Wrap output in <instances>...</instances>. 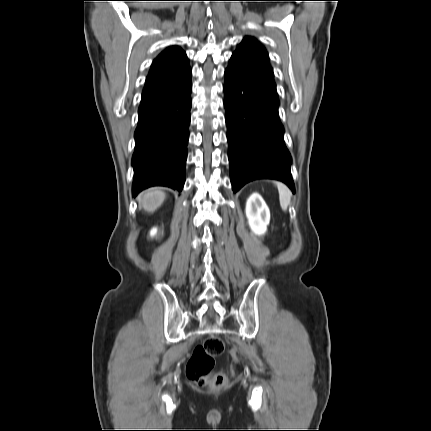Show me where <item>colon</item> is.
Segmentation results:
<instances>
[{
    "label": "colon",
    "instance_id": "1",
    "mask_svg": "<svg viewBox=\"0 0 431 431\" xmlns=\"http://www.w3.org/2000/svg\"><path fill=\"white\" fill-rule=\"evenodd\" d=\"M224 351V343L217 336H209L193 350L186 366L188 379L198 386L209 385L213 390L221 389L226 383L222 372H214L215 358Z\"/></svg>",
    "mask_w": 431,
    "mask_h": 431
}]
</instances>
